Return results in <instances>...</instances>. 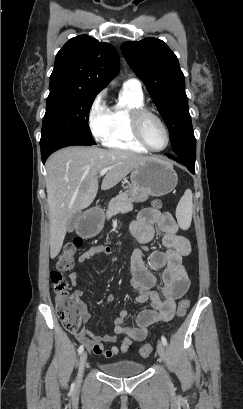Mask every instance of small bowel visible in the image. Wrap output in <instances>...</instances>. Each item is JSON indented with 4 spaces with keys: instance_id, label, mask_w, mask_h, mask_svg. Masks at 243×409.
<instances>
[{
    "instance_id": "small-bowel-1",
    "label": "small bowel",
    "mask_w": 243,
    "mask_h": 409,
    "mask_svg": "<svg viewBox=\"0 0 243 409\" xmlns=\"http://www.w3.org/2000/svg\"><path fill=\"white\" fill-rule=\"evenodd\" d=\"M130 231L133 237L143 244L151 241L157 231L161 233V241L166 250L153 252L150 257V265L153 269L164 268L163 285L159 293L154 290L157 278L145 266L142 250H134L129 257L128 266V271L132 276L131 286L138 293L136 302L139 304L150 302L152 308L138 313L135 327L125 324L130 313L127 309H121L113 319V334L95 335L85 328L76 334L78 340L83 342L91 352L106 358L125 353L131 347L132 342L146 339L149 327L154 323L170 321L176 300L181 298L190 287V278L182 261L190 254L191 244L188 239L178 233V224L170 212L144 209L132 222ZM100 254L111 255L113 249L106 245L92 246L79 256L78 261L84 263ZM69 279L73 287L78 286L77 272H71ZM83 295L84 292L81 289H76L73 298L81 304L83 321L86 324L90 317L86 305L81 301ZM113 300L114 297L109 296L107 301L112 302ZM118 336H123L124 339L120 346H115L113 344L117 341ZM107 344L111 345L107 346Z\"/></svg>"
}]
</instances>
